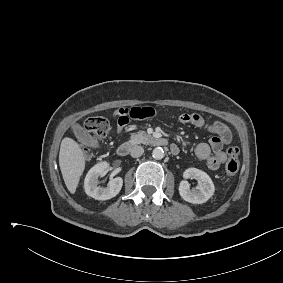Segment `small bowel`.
<instances>
[{"mask_svg": "<svg viewBox=\"0 0 283 283\" xmlns=\"http://www.w3.org/2000/svg\"><path fill=\"white\" fill-rule=\"evenodd\" d=\"M156 115V110L151 107L121 108L115 112L117 118V132L121 134L132 119H145ZM179 121L197 128L207 130L212 134L208 143H200L195 148V155L206 162L209 170L215 171L227 160L224 146L232 141V134L228 126L220 121L206 123L197 113H183Z\"/></svg>", "mask_w": 283, "mask_h": 283, "instance_id": "obj_1", "label": "small bowel"}]
</instances>
